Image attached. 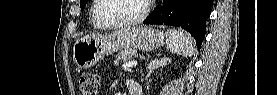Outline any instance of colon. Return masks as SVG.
Wrapping results in <instances>:
<instances>
[{
    "label": "colon",
    "mask_w": 277,
    "mask_h": 95,
    "mask_svg": "<svg viewBox=\"0 0 277 95\" xmlns=\"http://www.w3.org/2000/svg\"><path fill=\"white\" fill-rule=\"evenodd\" d=\"M100 79L93 73H83L80 77V91L82 95H98Z\"/></svg>",
    "instance_id": "obj_1"
}]
</instances>
